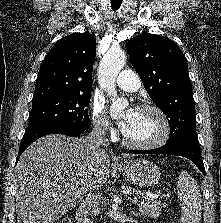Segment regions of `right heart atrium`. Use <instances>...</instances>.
<instances>
[{"instance_id": "obj_1", "label": "right heart atrium", "mask_w": 221, "mask_h": 223, "mask_svg": "<svg viewBox=\"0 0 221 223\" xmlns=\"http://www.w3.org/2000/svg\"><path fill=\"white\" fill-rule=\"evenodd\" d=\"M89 115L97 133L102 135L114 133V128L106 117L103 106L99 101L92 100L90 102Z\"/></svg>"}]
</instances>
